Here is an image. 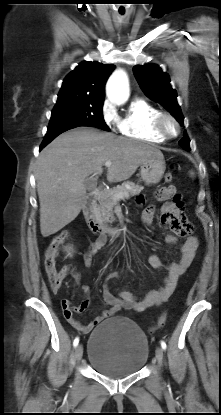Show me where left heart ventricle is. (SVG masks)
Wrapping results in <instances>:
<instances>
[{"instance_id": "left-heart-ventricle-1", "label": "left heart ventricle", "mask_w": 221, "mask_h": 415, "mask_svg": "<svg viewBox=\"0 0 221 415\" xmlns=\"http://www.w3.org/2000/svg\"><path fill=\"white\" fill-rule=\"evenodd\" d=\"M167 126H168V129H169L171 132H174V131H175V127H174V125H173L171 122H169V123L167 124Z\"/></svg>"}]
</instances>
